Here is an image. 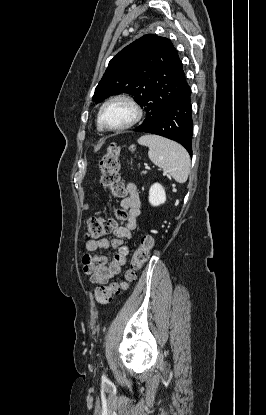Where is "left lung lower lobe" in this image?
I'll use <instances>...</instances> for the list:
<instances>
[{"instance_id":"obj_1","label":"left lung lower lobe","mask_w":266,"mask_h":415,"mask_svg":"<svg viewBox=\"0 0 266 415\" xmlns=\"http://www.w3.org/2000/svg\"><path fill=\"white\" fill-rule=\"evenodd\" d=\"M191 88L186 81L181 91L152 124L134 131L157 134L180 143L192 155Z\"/></svg>"}]
</instances>
